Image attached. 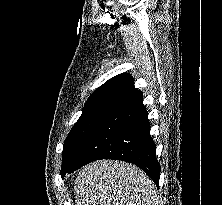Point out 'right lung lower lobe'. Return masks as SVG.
<instances>
[{
	"instance_id": "98d812e1",
	"label": "right lung lower lobe",
	"mask_w": 222,
	"mask_h": 205,
	"mask_svg": "<svg viewBox=\"0 0 222 205\" xmlns=\"http://www.w3.org/2000/svg\"><path fill=\"white\" fill-rule=\"evenodd\" d=\"M142 99L143 94L137 91L108 111L89 134L71 165L61 174L62 178L92 161L114 159L137 165L158 186L160 165Z\"/></svg>"
}]
</instances>
